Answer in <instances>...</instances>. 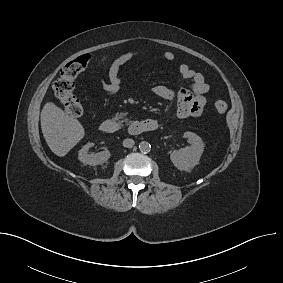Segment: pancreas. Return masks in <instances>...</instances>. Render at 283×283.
I'll return each instance as SVG.
<instances>
[{
	"label": "pancreas",
	"instance_id": "pancreas-1",
	"mask_svg": "<svg viewBox=\"0 0 283 283\" xmlns=\"http://www.w3.org/2000/svg\"><path fill=\"white\" fill-rule=\"evenodd\" d=\"M122 118H123V116L121 114L120 115H116V117H115L116 120H119V123L121 125L125 122V120H122Z\"/></svg>",
	"mask_w": 283,
	"mask_h": 283
}]
</instances>
